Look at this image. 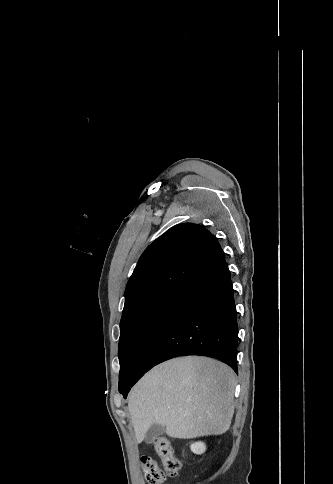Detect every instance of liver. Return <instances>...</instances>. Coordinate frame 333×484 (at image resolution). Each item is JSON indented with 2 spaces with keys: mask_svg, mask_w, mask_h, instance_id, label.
Masks as SVG:
<instances>
[{
  "mask_svg": "<svg viewBox=\"0 0 333 484\" xmlns=\"http://www.w3.org/2000/svg\"><path fill=\"white\" fill-rule=\"evenodd\" d=\"M234 388L233 370L211 358L187 356L154 367L128 398L137 442L153 424L173 438L222 435L234 414Z\"/></svg>",
  "mask_w": 333,
  "mask_h": 484,
  "instance_id": "1",
  "label": "liver"
}]
</instances>
